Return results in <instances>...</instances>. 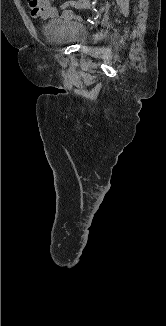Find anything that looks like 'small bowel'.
<instances>
[{"mask_svg": "<svg viewBox=\"0 0 166 326\" xmlns=\"http://www.w3.org/2000/svg\"><path fill=\"white\" fill-rule=\"evenodd\" d=\"M29 13L34 18L48 19L57 14V8L52 0H29Z\"/></svg>", "mask_w": 166, "mask_h": 326, "instance_id": "1", "label": "small bowel"}]
</instances>
